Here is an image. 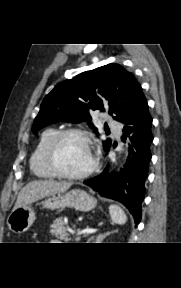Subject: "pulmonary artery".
I'll list each match as a JSON object with an SVG mask.
<instances>
[{"label":"pulmonary artery","instance_id":"e3ab8cb5","mask_svg":"<svg viewBox=\"0 0 181 288\" xmlns=\"http://www.w3.org/2000/svg\"><path fill=\"white\" fill-rule=\"evenodd\" d=\"M109 126L116 132L119 133V124L117 121L110 119L109 120Z\"/></svg>","mask_w":181,"mask_h":288}]
</instances>
